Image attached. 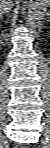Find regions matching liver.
<instances>
[{
	"label": "liver",
	"instance_id": "6515ba94",
	"mask_svg": "<svg viewBox=\"0 0 50 148\" xmlns=\"http://www.w3.org/2000/svg\"><path fill=\"white\" fill-rule=\"evenodd\" d=\"M3 1H4V0H1V1H0V2H1V3H0V4H1V6H2ZM1 10H2V9H1Z\"/></svg>",
	"mask_w": 50,
	"mask_h": 148
}]
</instances>
